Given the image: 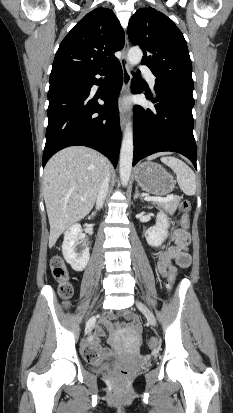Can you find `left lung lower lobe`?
<instances>
[{"label":"left lung lower lobe","instance_id":"0a47b994","mask_svg":"<svg viewBox=\"0 0 233 413\" xmlns=\"http://www.w3.org/2000/svg\"><path fill=\"white\" fill-rule=\"evenodd\" d=\"M132 89L135 93L143 91L136 80ZM154 90L155 96L147 93V99L155 103L154 110L134 107L133 165L151 154L172 151L186 156L197 168L192 91L159 78H156Z\"/></svg>","mask_w":233,"mask_h":413}]
</instances>
